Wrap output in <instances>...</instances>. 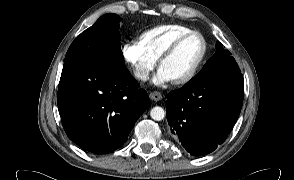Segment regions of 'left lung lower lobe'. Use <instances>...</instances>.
I'll use <instances>...</instances> for the list:
<instances>
[{"label": "left lung lower lobe", "instance_id": "left-lung-lower-lobe-1", "mask_svg": "<svg viewBox=\"0 0 294 180\" xmlns=\"http://www.w3.org/2000/svg\"><path fill=\"white\" fill-rule=\"evenodd\" d=\"M242 74L220 75L186 83L167 95L171 137L195 156L214 151L227 138L243 104Z\"/></svg>", "mask_w": 294, "mask_h": 180}]
</instances>
